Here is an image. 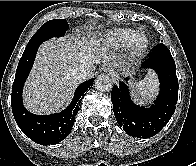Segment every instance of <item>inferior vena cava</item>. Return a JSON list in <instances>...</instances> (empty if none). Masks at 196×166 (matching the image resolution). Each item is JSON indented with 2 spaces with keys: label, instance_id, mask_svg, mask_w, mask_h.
<instances>
[{
  "label": "inferior vena cava",
  "instance_id": "obj_1",
  "mask_svg": "<svg viewBox=\"0 0 196 166\" xmlns=\"http://www.w3.org/2000/svg\"><path fill=\"white\" fill-rule=\"evenodd\" d=\"M90 69L85 67H79L74 70V76L79 80H84L90 75Z\"/></svg>",
  "mask_w": 196,
  "mask_h": 166
}]
</instances>
